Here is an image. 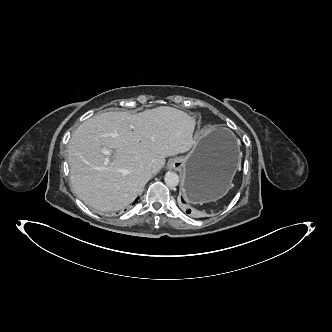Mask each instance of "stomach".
Returning <instances> with one entry per match:
<instances>
[{
    "label": "stomach",
    "mask_w": 332,
    "mask_h": 332,
    "mask_svg": "<svg viewBox=\"0 0 332 332\" xmlns=\"http://www.w3.org/2000/svg\"><path fill=\"white\" fill-rule=\"evenodd\" d=\"M240 158L239 142L230 130L203 134L187 155L175 159L183 173L185 199L203 204L222 198L231 188Z\"/></svg>",
    "instance_id": "1"
}]
</instances>
